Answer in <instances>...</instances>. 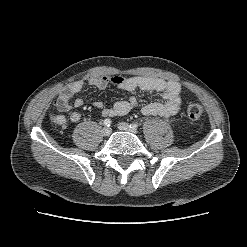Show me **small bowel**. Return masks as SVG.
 Masks as SVG:
<instances>
[{"label": "small bowel", "mask_w": 247, "mask_h": 247, "mask_svg": "<svg viewBox=\"0 0 247 247\" xmlns=\"http://www.w3.org/2000/svg\"><path fill=\"white\" fill-rule=\"evenodd\" d=\"M89 85L98 89H104L108 85H116L119 89L128 93H133L136 90L161 93L163 96L162 102H150L142 107L144 115H153L161 117H171L176 115L181 110V85L176 81H166L156 77L143 76H101L91 77L88 80ZM84 81L78 80L69 84L65 90L60 93L55 101V110L50 112L51 121L61 127H64L68 118L63 114L74 107H82L84 100L80 97L75 98L84 87ZM137 103L135 96H130L127 100L117 101L112 107H105L102 101L96 100L93 106L101 109L102 114L107 117L126 115ZM81 119L79 112H72L69 120L73 123Z\"/></svg>", "instance_id": "small-bowel-1"}]
</instances>
